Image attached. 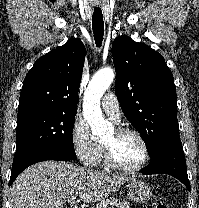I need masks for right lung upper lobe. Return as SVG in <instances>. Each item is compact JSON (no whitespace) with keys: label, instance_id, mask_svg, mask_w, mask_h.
<instances>
[{"label":"right lung upper lobe","instance_id":"cb5924a9","mask_svg":"<svg viewBox=\"0 0 199 208\" xmlns=\"http://www.w3.org/2000/svg\"><path fill=\"white\" fill-rule=\"evenodd\" d=\"M85 55L81 40L72 38L36 60L24 79L18 112L30 109L77 112Z\"/></svg>","mask_w":199,"mask_h":208}]
</instances>
